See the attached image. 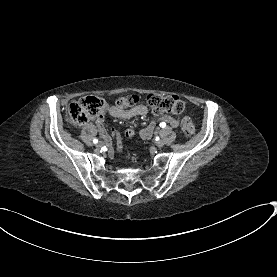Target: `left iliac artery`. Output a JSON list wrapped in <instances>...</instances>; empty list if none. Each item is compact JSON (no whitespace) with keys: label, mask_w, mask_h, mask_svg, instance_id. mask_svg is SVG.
Returning <instances> with one entry per match:
<instances>
[{"label":"left iliac artery","mask_w":277,"mask_h":277,"mask_svg":"<svg viewBox=\"0 0 277 277\" xmlns=\"http://www.w3.org/2000/svg\"><path fill=\"white\" fill-rule=\"evenodd\" d=\"M160 127L165 128L166 127V123L165 122L160 123Z\"/></svg>","instance_id":"obj_1"}]
</instances>
